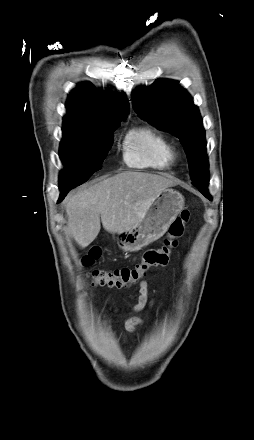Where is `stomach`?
Wrapping results in <instances>:
<instances>
[{"label": "stomach", "mask_w": 254, "mask_h": 440, "mask_svg": "<svg viewBox=\"0 0 254 440\" xmlns=\"http://www.w3.org/2000/svg\"><path fill=\"white\" fill-rule=\"evenodd\" d=\"M178 191L165 188L151 202L144 217L134 227L118 234V246L126 252L146 247L162 237L184 207Z\"/></svg>", "instance_id": "obj_1"}]
</instances>
